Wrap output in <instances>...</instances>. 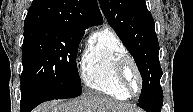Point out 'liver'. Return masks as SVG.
I'll return each instance as SVG.
<instances>
[{
    "label": "liver",
    "mask_w": 193,
    "mask_h": 112,
    "mask_svg": "<svg viewBox=\"0 0 193 112\" xmlns=\"http://www.w3.org/2000/svg\"><path fill=\"white\" fill-rule=\"evenodd\" d=\"M133 110L132 105L109 97L89 96L67 102H45L34 112H132Z\"/></svg>",
    "instance_id": "obj_1"
}]
</instances>
